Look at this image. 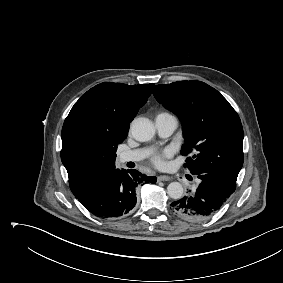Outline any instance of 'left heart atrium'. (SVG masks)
Returning <instances> with one entry per match:
<instances>
[{
	"label": "left heart atrium",
	"mask_w": 283,
	"mask_h": 283,
	"mask_svg": "<svg viewBox=\"0 0 283 283\" xmlns=\"http://www.w3.org/2000/svg\"><path fill=\"white\" fill-rule=\"evenodd\" d=\"M170 156L171 152L168 150H164L162 152L154 154L151 158V161L156 167L162 168L166 164L165 160Z\"/></svg>",
	"instance_id": "1"
}]
</instances>
